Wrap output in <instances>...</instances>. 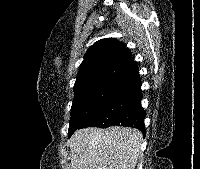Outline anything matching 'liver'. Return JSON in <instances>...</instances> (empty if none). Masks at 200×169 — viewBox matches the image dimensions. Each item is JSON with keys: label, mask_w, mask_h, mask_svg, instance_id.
<instances>
[{"label": "liver", "mask_w": 200, "mask_h": 169, "mask_svg": "<svg viewBox=\"0 0 200 169\" xmlns=\"http://www.w3.org/2000/svg\"><path fill=\"white\" fill-rule=\"evenodd\" d=\"M142 139L139 130L121 126L79 129L69 140L68 169H135Z\"/></svg>", "instance_id": "obj_1"}]
</instances>
